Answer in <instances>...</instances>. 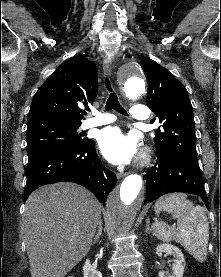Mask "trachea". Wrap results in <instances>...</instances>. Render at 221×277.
Returning a JSON list of instances; mask_svg holds the SVG:
<instances>
[{
	"mask_svg": "<svg viewBox=\"0 0 221 277\" xmlns=\"http://www.w3.org/2000/svg\"><path fill=\"white\" fill-rule=\"evenodd\" d=\"M105 84H106L107 89L110 91L109 97L106 102L105 110L109 111L111 109H114L115 111H117L120 114L127 115V112L124 110V108L120 105V103L118 101L117 94L112 91L111 83L108 78H106Z\"/></svg>",
	"mask_w": 221,
	"mask_h": 277,
	"instance_id": "trachea-1",
	"label": "trachea"
}]
</instances>
